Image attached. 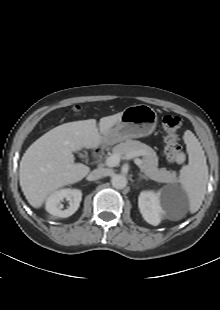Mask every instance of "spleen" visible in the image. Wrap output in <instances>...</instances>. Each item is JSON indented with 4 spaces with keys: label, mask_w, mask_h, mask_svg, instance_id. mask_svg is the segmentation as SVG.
<instances>
[{
    "label": "spleen",
    "mask_w": 220,
    "mask_h": 310,
    "mask_svg": "<svg viewBox=\"0 0 220 310\" xmlns=\"http://www.w3.org/2000/svg\"><path fill=\"white\" fill-rule=\"evenodd\" d=\"M189 163L180 170L179 182L189 199L191 214L198 211L206 192L208 166L206 157L198 139L187 130L184 133Z\"/></svg>",
    "instance_id": "3e777b00"
}]
</instances>
